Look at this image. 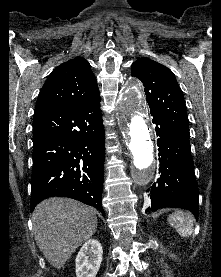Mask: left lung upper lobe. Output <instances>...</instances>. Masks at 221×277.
<instances>
[{"label":"left lung upper lobe","mask_w":221,"mask_h":277,"mask_svg":"<svg viewBox=\"0 0 221 277\" xmlns=\"http://www.w3.org/2000/svg\"><path fill=\"white\" fill-rule=\"evenodd\" d=\"M132 75L139 78L145 87L151 115L158 116L181 137L189 140L186 105L172 71L154 60L140 58L132 64Z\"/></svg>","instance_id":"left-lung-upper-lobe-1"}]
</instances>
